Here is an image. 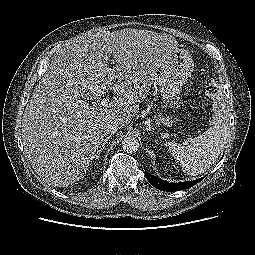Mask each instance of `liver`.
<instances>
[{
	"label": "liver",
	"instance_id": "liver-1",
	"mask_svg": "<svg viewBox=\"0 0 255 255\" xmlns=\"http://www.w3.org/2000/svg\"><path fill=\"white\" fill-rule=\"evenodd\" d=\"M169 34L148 30L89 31L61 47L36 85L22 119V139L43 182L65 187L82 179L108 121L130 123L150 93L157 71L177 50ZM113 55L115 67L110 68ZM106 106L88 109L106 93Z\"/></svg>",
	"mask_w": 255,
	"mask_h": 255
}]
</instances>
